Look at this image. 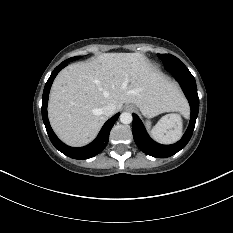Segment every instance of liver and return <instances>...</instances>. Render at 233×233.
Instances as JSON below:
<instances>
[{
    "label": "liver",
    "instance_id": "obj_1",
    "mask_svg": "<svg viewBox=\"0 0 233 233\" xmlns=\"http://www.w3.org/2000/svg\"><path fill=\"white\" fill-rule=\"evenodd\" d=\"M133 103L147 117L187 110L177 86L157 72L141 53H104L63 69L52 85L48 117L66 144L90 143L107 120L102 108L116 112Z\"/></svg>",
    "mask_w": 233,
    "mask_h": 233
}]
</instances>
